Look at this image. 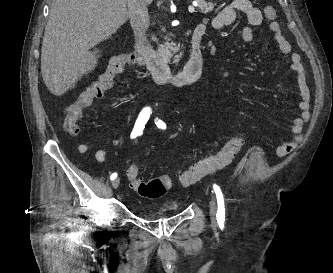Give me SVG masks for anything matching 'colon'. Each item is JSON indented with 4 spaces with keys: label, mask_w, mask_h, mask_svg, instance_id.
I'll return each instance as SVG.
<instances>
[{
    "label": "colon",
    "mask_w": 333,
    "mask_h": 273,
    "mask_svg": "<svg viewBox=\"0 0 333 273\" xmlns=\"http://www.w3.org/2000/svg\"><path fill=\"white\" fill-rule=\"evenodd\" d=\"M263 12L267 20L271 21L276 17V10L271 6L265 7ZM140 63L139 57L133 53L112 58L106 71L83 90L74 102L66 107L63 123L65 131L70 135H76L79 132L83 111L91 107L96 100L101 99L113 87L118 75L128 67ZM244 142L245 139L242 134L231 137L217 153L198 161L189 169L180 172L178 175L179 183L182 186H190L201 177L228 165L239 153ZM126 177L131 189L141 197L149 199L162 197L172 185V180L168 175L145 180L139 167L135 164L128 165Z\"/></svg>",
    "instance_id": "obj_1"
}]
</instances>
